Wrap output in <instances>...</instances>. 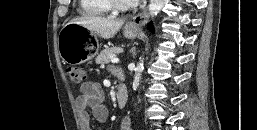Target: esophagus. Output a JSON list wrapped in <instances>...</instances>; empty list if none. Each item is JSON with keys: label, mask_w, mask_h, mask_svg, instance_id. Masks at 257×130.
<instances>
[{"label": "esophagus", "mask_w": 257, "mask_h": 130, "mask_svg": "<svg viewBox=\"0 0 257 130\" xmlns=\"http://www.w3.org/2000/svg\"><path fill=\"white\" fill-rule=\"evenodd\" d=\"M148 10L147 9H144L143 12L137 14L132 21H130L129 25L131 27H138L140 25H143L144 23L147 22V19H148Z\"/></svg>", "instance_id": "obj_1"}]
</instances>
